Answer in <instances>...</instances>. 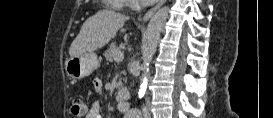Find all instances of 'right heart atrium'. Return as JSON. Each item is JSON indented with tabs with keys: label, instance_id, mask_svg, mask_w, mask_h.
<instances>
[{
	"label": "right heart atrium",
	"instance_id": "right-heart-atrium-1",
	"mask_svg": "<svg viewBox=\"0 0 273 118\" xmlns=\"http://www.w3.org/2000/svg\"><path fill=\"white\" fill-rule=\"evenodd\" d=\"M120 3H122L123 6L127 8H134L136 5L135 0H122Z\"/></svg>",
	"mask_w": 273,
	"mask_h": 118
}]
</instances>
